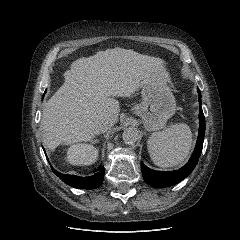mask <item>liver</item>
<instances>
[{
	"mask_svg": "<svg viewBox=\"0 0 240 240\" xmlns=\"http://www.w3.org/2000/svg\"><path fill=\"white\" fill-rule=\"evenodd\" d=\"M64 77V84L43 108L42 137L50 150L92 140L105 117L111 128L120 112L116 97H129L146 79L169 81L162 59L123 48L79 58Z\"/></svg>",
	"mask_w": 240,
	"mask_h": 240,
	"instance_id": "6515ba94",
	"label": "liver"
}]
</instances>
